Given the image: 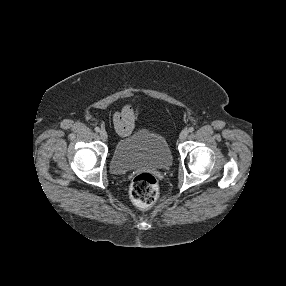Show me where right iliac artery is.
<instances>
[{"instance_id": "obj_1", "label": "right iliac artery", "mask_w": 286, "mask_h": 286, "mask_svg": "<svg viewBox=\"0 0 286 286\" xmlns=\"http://www.w3.org/2000/svg\"><path fill=\"white\" fill-rule=\"evenodd\" d=\"M95 131L96 132H100V128L99 127H95Z\"/></svg>"}]
</instances>
